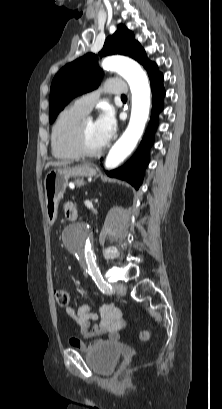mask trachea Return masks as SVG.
Returning a JSON list of instances; mask_svg holds the SVG:
<instances>
[{
	"mask_svg": "<svg viewBox=\"0 0 222 409\" xmlns=\"http://www.w3.org/2000/svg\"><path fill=\"white\" fill-rule=\"evenodd\" d=\"M122 99H127L126 95L121 96Z\"/></svg>",
	"mask_w": 222,
	"mask_h": 409,
	"instance_id": "obj_1",
	"label": "trachea"
}]
</instances>
